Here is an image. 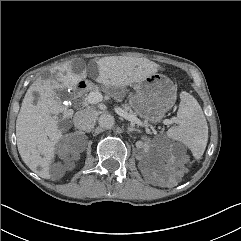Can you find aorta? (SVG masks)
Masks as SVG:
<instances>
[{"label":"aorta","instance_id":"obj_1","mask_svg":"<svg viewBox=\"0 0 241 241\" xmlns=\"http://www.w3.org/2000/svg\"><path fill=\"white\" fill-rule=\"evenodd\" d=\"M98 123L102 128L111 129L115 124V119L111 114L103 113L100 115Z\"/></svg>","mask_w":241,"mask_h":241}]
</instances>
